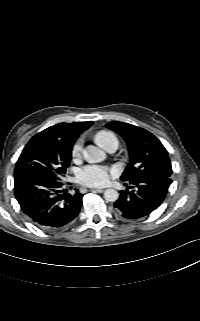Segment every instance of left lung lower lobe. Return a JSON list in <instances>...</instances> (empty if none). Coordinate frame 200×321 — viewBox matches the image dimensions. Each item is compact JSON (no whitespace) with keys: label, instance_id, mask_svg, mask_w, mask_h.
I'll use <instances>...</instances> for the list:
<instances>
[{"label":"left lung lower lobe","instance_id":"obj_1","mask_svg":"<svg viewBox=\"0 0 200 321\" xmlns=\"http://www.w3.org/2000/svg\"><path fill=\"white\" fill-rule=\"evenodd\" d=\"M134 188L122 191L114 207L120 218L138 219L150 214L164 200L171 179L165 176H147L128 180ZM126 185V183H125Z\"/></svg>","mask_w":200,"mask_h":321}]
</instances>
